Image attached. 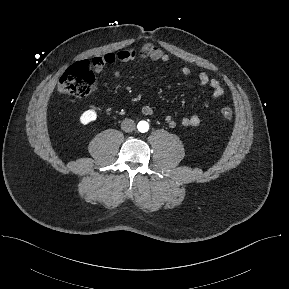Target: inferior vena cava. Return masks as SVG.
<instances>
[{
	"label": "inferior vena cava",
	"mask_w": 289,
	"mask_h": 289,
	"mask_svg": "<svg viewBox=\"0 0 289 289\" xmlns=\"http://www.w3.org/2000/svg\"><path fill=\"white\" fill-rule=\"evenodd\" d=\"M121 129L125 132H132L135 129V123L132 119H124L121 123Z\"/></svg>",
	"instance_id": "inferior-vena-cava-1"
}]
</instances>
